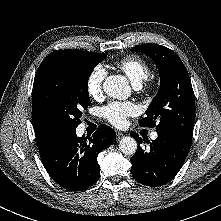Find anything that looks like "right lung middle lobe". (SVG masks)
Returning a JSON list of instances; mask_svg holds the SVG:
<instances>
[{"label":"right lung middle lobe","instance_id":"obj_1","mask_svg":"<svg viewBox=\"0 0 221 221\" xmlns=\"http://www.w3.org/2000/svg\"><path fill=\"white\" fill-rule=\"evenodd\" d=\"M106 55L79 51L44 59L34 79L32 113L56 133L76 129L90 104L88 78Z\"/></svg>","mask_w":221,"mask_h":221}]
</instances>
